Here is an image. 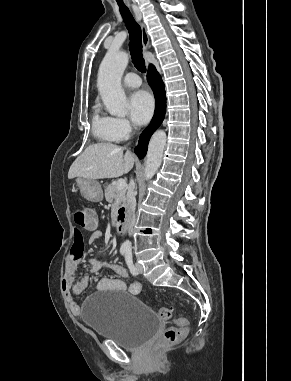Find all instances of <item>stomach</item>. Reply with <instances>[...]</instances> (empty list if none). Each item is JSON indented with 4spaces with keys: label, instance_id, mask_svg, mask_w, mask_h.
<instances>
[{
    "label": "stomach",
    "instance_id": "stomach-1",
    "mask_svg": "<svg viewBox=\"0 0 291 381\" xmlns=\"http://www.w3.org/2000/svg\"><path fill=\"white\" fill-rule=\"evenodd\" d=\"M78 187L82 196L91 202H100L103 200V191L100 184L91 179L78 178Z\"/></svg>",
    "mask_w": 291,
    "mask_h": 381
}]
</instances>
